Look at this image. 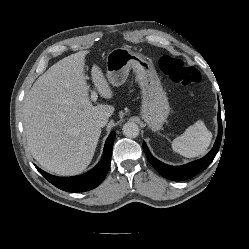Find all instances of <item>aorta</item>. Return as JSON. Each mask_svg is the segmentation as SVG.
<instances>
[{
    "instance_id": "762f6f07",
    "label": "aorta",
    "mask_w": 249,
    "mask_h": 249,
    "mask_svg": "<svg viewBox=\"0 0 249 249\" xmlns=\"http://www.w3.org/2000/svg\"><path fill=\"white\" fill-rule=\"evenodd\" d=\"M123 134L128 138H136L139 135V126L134 122H127L122 128Z\"/></svg>"
}]
</instances>
